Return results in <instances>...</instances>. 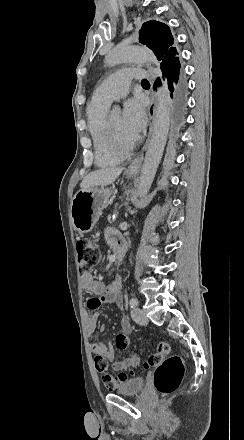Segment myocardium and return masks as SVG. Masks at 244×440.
<instances>
[{"mask_svg": "<svg viewBox=\"0 0 244 440\" xmlns=\"http://www.w3.org/2000/svg\"><path fill=\"white\" fill-rule=\"evenodd\" d=\"M110 113L108 112L105 115L104 118V126L102 127L104 130H106L107 132L104 133V140L107 141L106 146L107 147H121V146H127L130 144V142H128L124 136H122L121 134L117 133L116 131L113 130L111 124H110ZM120 136L121 138L119 139L117 136Z\"/></svg>", "mask_w": 244, "mask_h": 440, "instance_id": "myocardium-1", "label": "myocardium"}]
</instances>
